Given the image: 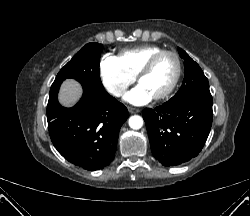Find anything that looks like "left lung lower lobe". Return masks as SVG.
Listing matches in <instances>:
<instances>
[{"label": "left lung lower lobe", "mask_w": 250, "mask_h": 216, "mask_svg": "<svg viewBox=\"0 0 250 216\" xmlns=\"http://www.w3.org/2000/svg\"><path fill=\"white\" fill-rule=\"evenodd\" d=\"M153 156L164 166H176L196 157L209 135L212 100L197 97L143 110Z\"/></svg>", "instance_id": "obj_1"}]
</instances>
